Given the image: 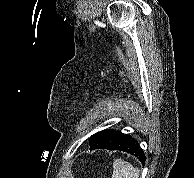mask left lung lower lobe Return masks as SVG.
I'll use <instances>...</instances> for the list:
<instances>
[{"label": "left lung lower lobe", "mask_w": 194, "mask_h": 178, "mask_svg": "<svg viewBox=\"0 0 194 178\" xmlns=\"http://www.w3.org/2000/svg\"><path fill=\"white\" fill-rule=\"evenodd\" d=\"M89 145L90 150L104 148L108 150H120L130 153L145 164L146 157L138 142L130 135H124L119 131L105 130L97 132L91 136Z\"/></svg>", "instance_id": "1"}]
</instances>
